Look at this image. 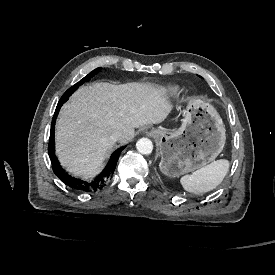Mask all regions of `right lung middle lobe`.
<instances>
[{"mask_svg": "<svg viewBox=\"0 0 275 275\" xmlns=\"http://www.w3.org/2000/svg\"><path fill=\"white\" fill-rule=\"evenodd\" d=\"M101 70V68H97L95 70H93L92 72H90L87 76H85L83 79H81L78 83H76L75 85H73L71 88H69L64 95L61 97V99L64 98H69V96L72 95V93L83 83L88 82L94 75H96L99 71Z\"/></svg>", "mask_w": 275, "mask_h": 275, "instance_id": "dd1d6c3e", "label": "right lung middle lobe"}]
</instances>
